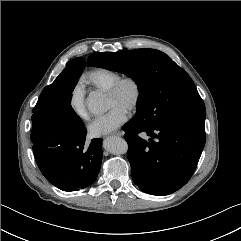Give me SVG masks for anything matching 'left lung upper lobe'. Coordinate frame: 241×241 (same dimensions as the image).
<instances>
[{"mask_svg": "<svg viewBox=\"0 0 241 241\" xmlns=\"http://www.w3.org/2000/svg\"><path fill=\"white\" fill-rule=\"evenodd\" d=\"M87 63L124 73L137 83L140 94L135 116L148 126L173 116L206 117L204 102L190 76L161 51L97 52Z\"/></svg>", "mask_w": 241, "mask_h": 241, "instance_id": "left-lung-upper-lobe-1", "label": "left lung upper lobe"}]
</instances>
